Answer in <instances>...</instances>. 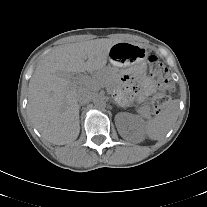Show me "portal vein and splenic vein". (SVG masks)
I'll return each mask as SVG.
<instances>
[{
	"label": "portal vein and splenic vein",
	"mask_w": 207,
	"mask_h": 207,
	"mask_svg": "<svg viewBox=\"0 0 207 207\" xmlns=\"http://www.w3.org/2000/svg\"><path fill=\"white\" fill-rule=\"evenodd\" d=\"M76 82H84V83H86V84L89 85V86L99 87V86H98L94 81H92V79L89 78V77H80V78L77 79Z\"/></svg>",
	"instance_id": "portal-vein-and-splenic-vein-1"
}]
</instances>
